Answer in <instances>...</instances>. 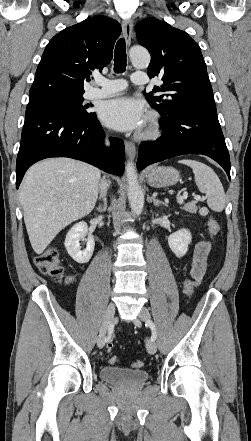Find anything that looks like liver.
Here are the masks:
<instances>
[{
    "label": "liver",
    "instance_id": "liver-1",
    "mask_svg": "<svg viewBox=\"0 0 251 441\" xmlns=\"http://www.w3.org/2000/svg\"><path fill=\"white\" fill-rule=\"evenodd\" d=\"M100 175L98 168L70 158L44 160L28 169L19 200L36 254L43 253L63 228L93 210Z\"/></svg>",
    "mask_w": 251,
    "mask_h": 441
}]
</instances>
